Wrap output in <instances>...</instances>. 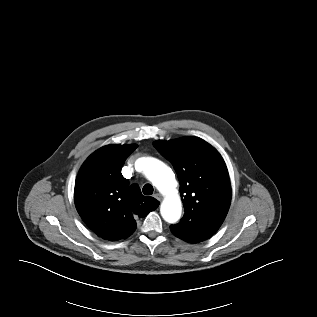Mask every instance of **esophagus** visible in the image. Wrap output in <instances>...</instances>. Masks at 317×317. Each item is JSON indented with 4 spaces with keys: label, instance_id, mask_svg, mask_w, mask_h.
Listing matches in <instances>:
<instances>
[{
    "label": "esophagus",
    "instance_id": "esophagus-1",
    "mask_svg": "<svg viewBox=\"0 0 317 317\" xmlns=\"http://www.w3.org/2000/svg\"><path fill=\"white\" fill-rule=\"evenodd\" d=\"M153 197H154L155 199H157L158 201H161V200H162V195L159 194V193L154 194Z\"/></svg>",
    "mask_w": 317,
    "mask_h": 317
}]
</instances>
